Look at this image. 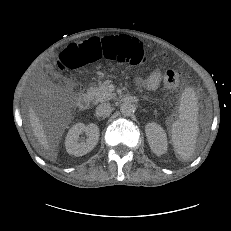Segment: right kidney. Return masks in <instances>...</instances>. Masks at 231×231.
Listing matches in <instances>:
<instances>
[{"instance_id": "ca27d5eb", "label": "right kidney", "mask_w": 231, "mask_h": 231, "mask_svg": "<svg viewBox=\"0 0 231 231\" xmlns=\"http://www.w3.org/2000/svg\"><path fill=\"white\" fill-rule=\"evenodd\" d=\"M83 132L87 135L86 141L79 139V135ZM99 136V127L96 124L76 123L70 128L65 139L66 151L74 156H83L97 145Z\"/></svg>"}]
</instances>
